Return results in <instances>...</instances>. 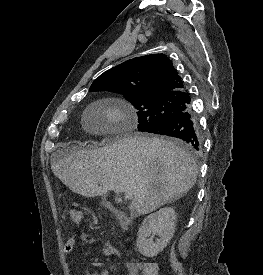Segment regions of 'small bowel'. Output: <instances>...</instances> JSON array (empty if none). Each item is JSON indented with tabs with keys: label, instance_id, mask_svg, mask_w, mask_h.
Masks as SVG:
<instances>
[{
	"label": "small bowel",
	"instance_id": "c3829d8e",
	"mask_svg": "<svg viewBox=\"0 0 263 275\" xmlns=\"http://www.w3.org/2000/svg\"><path fill=\"white\" fill-rule=\"evenodd\" d=\"M88 239H89V236L85 233L72 235L65 243V246H64L65 253L71 254L78 240L88 241ZM102 251L106 257H111L115 253L113 246L109 243H105L103 245ZM96 269H99V270L97 271ZM128 269H129V275H139L140 268H138L135 264H129ZM84 274L85 275H110V272L104 267V263L100 261H94L86 268Z\"/></svg>",
	"mask_w": 263,
	"mask_h": 275
}]
</instances>
